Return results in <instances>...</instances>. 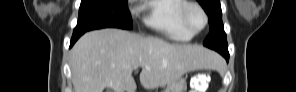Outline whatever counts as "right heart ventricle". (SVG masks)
<instances>
[{
    "label": "right heart ventricle",
    "mask_w": 296,
    "mask_h": 92,
    "mask_svg": "<svg viewBox=\"0 0 296 92\" xmlns=\"http://www.w3.org/2000/svg\"><path fill=\"white\" fill-rule=\"evenodd\" d=\"M185 0H152L146 3L148 14L144 22L151 29L176 41H188L193 35L181 23Z\"/></svg>",
    "instance_id": "e07e8e85"
}]
</instances>
